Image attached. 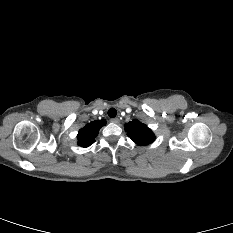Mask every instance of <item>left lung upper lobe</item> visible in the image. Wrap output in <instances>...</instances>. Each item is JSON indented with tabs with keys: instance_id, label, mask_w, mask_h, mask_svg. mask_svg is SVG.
<instances>
[{
	"instance_id": "left-lung-upper-lobe-1",
	"label": "left lung upper lobe",
	"mask_w": 233,
	"mask_h": 233,
	"mask_svg": "<svg viewBox=\"0 0 233 233\" xmlns=\"http://www.w3.org/2000/svg\"><path fill=\"white\" fill-rule=\"evenodd\" d=\"M125 130L131 140L138 145H148L155 139V135L151 129L138 120H133L129 123H126Z\"/></svg>"
}]
</instances>
